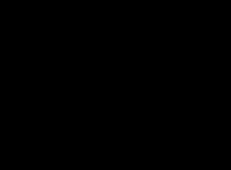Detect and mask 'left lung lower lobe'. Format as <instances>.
Masks as SVG:
<instances>
[{
	"label": "left lung lower lobe",
	"instance_id": "left-lung-lower-lobe-1",
	"mask_svg": "<svg viewBox=\"0 0 231 170\" xmlns=\"http://www.w3.org/2000/svg\"><path fill=\"white\" fill-rule=\"evenodd\" d=\"M133 110L139 116L133 129L135 141L148 152L154 154L172 153L196 135L197 119L192 120L191 126L186 129L161 135L158 131L159 119L151 102L139 101L133 106Z\"/></svg>",
	"mask_w": 231,
	"mask_h": 170
}]
</instances>
